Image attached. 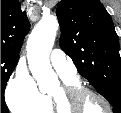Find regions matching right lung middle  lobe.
Wrapping results in <instances>:
<instances>
[{"mask_svg":"<svg viewBox=\"0 0 121 113\" xmlns=\"http://www.w3.org/2000/svg\"><path fill=\"white\" fill-rule=\"evenodd\" d=\"M19 57H12L1 54V111L8 113V108L4 101V91L7 81L16 67Z\"/></svg>","mask_w":121,"mask_h":113,"instance_id":"right-lung-middle-lobe-1","label":"right lung middle lobe"}]
</instances>
